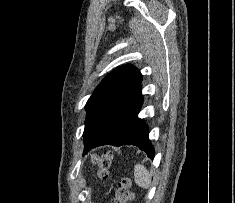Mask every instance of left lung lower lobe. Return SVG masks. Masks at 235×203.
<instances>
[{
  "label": "left lung lower lobe",
  "mask_w": 235,
  "mask_h": 203,
  "mask_svg": "<svg viewBox=\"0 0 235 203\" xmlns=\"http://www.w3.org/2000/svg\"><path fill=\"white\" fill-rule=\"evenodd\" d=\"M142 103L143 97L141 86H139L125 102L103 133L84 151V153L101 145H135L139 147L140 150L146 152L149 158L153 159L155 151L148 138V127L142 119L137 117Z\"/></svg>",
  "instance_id": "obj_1"
}]
</instances>
